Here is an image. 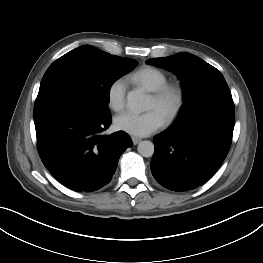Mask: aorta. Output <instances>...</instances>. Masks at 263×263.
<instances>
[{
    "mask_svg": "<svg viewBox=\"0 0 263 263\" xmlns=\"http://www.w3.org/2000/svg\"><path fill=\"white\" fill-rule=\"evenodd\" d=\"M127 105L135 112L145 111L148 107L147 97L141 90H132L127 94ZM138 153L143 157H151L154 154V144L145 140L138 144Z\"/></svg>",
    "mask_w": 263,
    "mask_h": 263,
    "instance_id": "obj_1",
    "label": "aorta"
}]
</instances>
